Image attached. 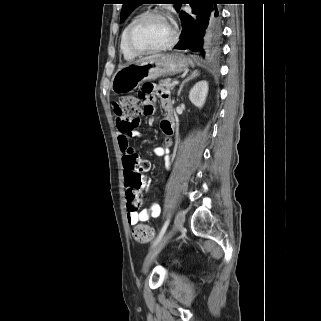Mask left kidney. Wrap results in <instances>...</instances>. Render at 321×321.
<instances>
[{"instance_id": "1", "label": "left kidney", "mask_w": 321, "mask_h": 321, "mask_svg": "<svg viewBox=\"0 0 321 321\" xmlns=\"http://www.w3.org/2000/svg\"><path fill=\"white\" fill-rule=\"evenodd\" d=\"M208 93V83L206 81L197 82L190 90L189 99L196 107H203Z\"/></svg>"}]
</instances>
